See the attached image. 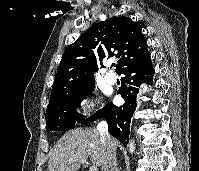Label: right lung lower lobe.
Here are the masks:
<instances>
[{
  "mask_svg": "<svg viewBox=\"0 0 199 171\" xmlns=\"http://www.w3.org/2000/svg\"><path fill=\"white\" fill-rule=\"evenodd\" d=\"M120 74L125 75L123 78L124 84H122L117 93L123 97L125 104L117 107L112 102H109L93 116L87 119L84 118L79 122L87 124L98 118H104L108 122L109 133L126 146L131 117L137 105L136 97L139 87L142 83L152 84L154 68L150 55L137 63L127 66L120 71Z\"/></svg>",
  "mask_w": 199,
  "mask_h": 171,
  "instance_id": "1",
  "label": "right lung lower lobe"
}]
</instances>
